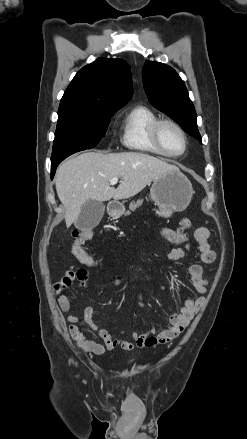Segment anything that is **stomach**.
I'll return each instance as SVG.
<instances>
[{
  "label": "stomach",
  "mask_w": 247,
  "mask_h": 439,
  "mask_svg": "<svg viewBox=\"0 0 247 439\" xmlns=\"http://www.w3.org/2000/svg\"><path fill=\"white\" fill-rule=\"evenodd\" d=\"M193 188L189 179L180 171H170L153 181L150 196L159 210V216L168 217L173 212L183 211L190 204ZM124 211L122 204H116L110 209L113 218H119Z\"/></svg>",
  "instance_id": "stomach-1"
}]
</instances>
